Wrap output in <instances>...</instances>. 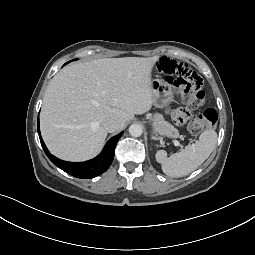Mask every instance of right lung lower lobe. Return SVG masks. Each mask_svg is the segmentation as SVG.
<instances>
[{
    "instance_id": "1",
    "label": "right lung lower lobe",
    "mask_w": 255,
    "mask_h": 255,
    "mask_svg": "<svg viewBox=\"0 0 255 255\" xmlns=\"http://www.w3.org/2000/svg\"><path fill=\"white\" fill-rule=\"evenodd\" d=\"M38 134L41 145L46 155L57 167H59L60 169L74 177L89 179L104 173L109 168L114 158L115 146L119 138L122 136L123 132L112 137L105 145L103 151L96 158L89 161L76 163L60 160L53 156L52 154H50L40 134L39 118H38Z\"/></svg>"
}]
</instances>
